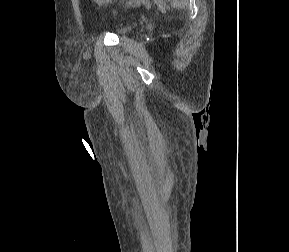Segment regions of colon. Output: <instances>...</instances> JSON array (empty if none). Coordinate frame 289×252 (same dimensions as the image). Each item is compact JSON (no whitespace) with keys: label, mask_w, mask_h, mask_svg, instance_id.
Segmentation results:
<instances>
[{"label":"colon","mask_w":289,"mask_h":252,"mask_svg":"<svg viewBox=\"0 0 289 252\" xmlns=\"http://www.w3.org/2000/svg\"><path fill=\"white\" fill-rule=\"evenodd\" d=\"M135 2H136L135 6L145 4V0H136Z\"/></svg>","instance_id":"5ec220e1"}]
</instances>
